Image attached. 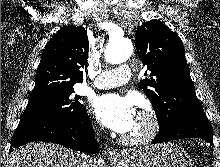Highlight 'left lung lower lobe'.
<instances>
[{"instance_id":"obj_1","label":"left lung lower lobe","mask_w":220,"mask_h":167,"mask_svg":"<svg viewBox=\"0 0 220 167\" xmlns=\"http://www.w3.org/2000/svg\"><path fill=\"white\" fill-rule=\"evenodd\" d=\"M182 138H201L213 145L212 128L204 112L187 115L166 128H159L152 144Z\"/></svg>"}]
</instances>
